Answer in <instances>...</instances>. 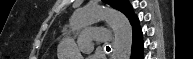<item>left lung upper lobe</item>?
<instances>
[{
    "mask_svg": "<svg viewBox=\"0 0 193 59\" xmlns=\"http://www.w3.org/2000/svg\"><path fill=\"white\" fill-rule=\"evenodd\" d=\"M104 3L110 5L111 7L121 11L127 18L133 14L131 5L127 0H102Z\"/></svg>",
    "mask_w": 193,
    "mask_h": 59,
    "instance_id": "left-lung-upper-lobe-1",
    "label": "left lung upper lobe"
}]
</instances>
